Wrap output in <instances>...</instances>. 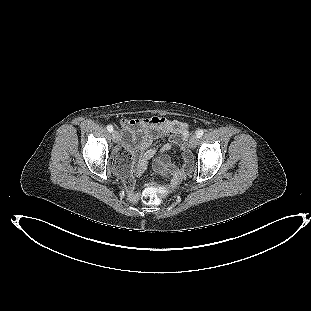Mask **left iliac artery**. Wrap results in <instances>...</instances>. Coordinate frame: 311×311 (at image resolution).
<instances>
[{"label": "left iliac artery", "instance_id": "left-iliac-artery-1", "mask_svg": "<svg viewBox=\"0 0 311 311\" xmlns=\"http://www.w3.org/2000/svg\"><path fill=\"white\" fill-rule=\"evenodd\" d=\"M203 134H204V130L203 129L198 130L197 133H196L198 138L202 137Z\"/></svg>", "mask_w": 311, "mask_h": 311}]
</instances>
